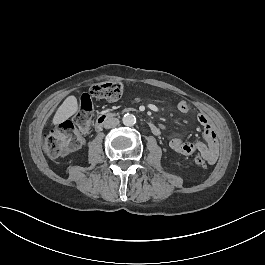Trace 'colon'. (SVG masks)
<instances>
[{
    "label": "colon",
    "instance_id": "colon-1",
    "mask_svg": "<svg viewBox=\"0 0 265 265\" xmlns=\"http://www.w3.org/2000/svg\"><path fill=\"white\" fill-rule=\"evenodd\" d=\"M123 92L122 83L117 81L96 83L91 86L80 102V110L75 114L73 120L65 121L53 128L44 137V149L47 155L50 157L60 156L78 144L80 135L75 130V126L83 128L90 124L91 112L94 110L93 98L115 101L122 96ZM195 163L200 167L208 165L202 155L195 156Z\"/></svg>",
    "mask_w": 265,
    "mask_h": 265
}]
</instances>
